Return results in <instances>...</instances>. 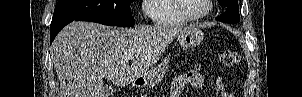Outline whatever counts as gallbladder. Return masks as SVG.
Here are the masks:
<instances>
[{"label": "gallbladder", "instance_id": "obj_1", "mask_svg": "<svg viewBox=\"0 0 302 97\" xmlns=\"http://www.w3.org/2000/svg\"><path fill=\"white\" fill-rule=\"evenodd\" d=\"M113 87L111 85H106L101 91V97H110L113 93Z\"/></svg>", "mask_w": 302, "mask_h": 97}]
</instances>
